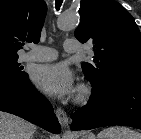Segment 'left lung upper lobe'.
Masks as SVG:
<instances>
[{
  "mask_svg": "<svg viewBox=\"0 0 141 139\" xmlns=\"http://www.w3.org/2000/svg\"><path fill=\"white\" fill-rule=\"evenodd\" d=\"M75 37L93 42V63H82L93 87L112 77L141 78L140 31L132 15L115 0H81Z\"/></svg>",
  "mask_w": 141,
  "mask_h": 139,
  "instance_id": "left-lung-upper-lobe-1",
  "label": "left lung upper lobe"
}]
</instances>
